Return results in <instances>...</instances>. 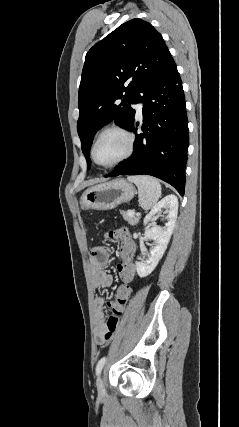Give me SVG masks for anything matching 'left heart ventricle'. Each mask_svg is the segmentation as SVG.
Segmentation results:
<instances>
[{
    "mask_svg": "<svg viewBox=\"0 0 239 427\" xmlns=\"http://www.w3.org/2000/svg\"><path fill=\"white\" fill-rule=\"evenodd\" d=\"M126 150L124 136L117 132L104 134L95 147V159L100 164H110L119 159Z\"/></svg>",
    "mask_w": 239,
    "mask_h": 427,
    "instance_id": "obj_1",
    "label": "left heart ventricle"
}]
</instances>
